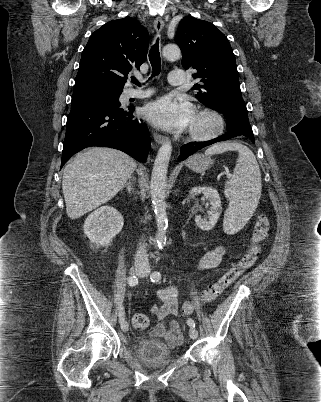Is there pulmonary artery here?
I'll return each mask as SVG.
<instances>
[{
	"mask_svg": "<svg viewBox=\"0 0 321 402\" xmlns=\"http://www.w3.org/2000/svg\"><path fill=\"white\" fill-rule=\"evenodd\" d=\"M168 82L172 86H181L184 84V74L182 70H173L169 73ZM152 94V91H134L131 96L137 98H145Z\"/></svg>",
	"mask_w": 321,
	"mask_h": 402,
	"instance_id": "1",
	"label": "pulmonary artery"
}]
</instances>
